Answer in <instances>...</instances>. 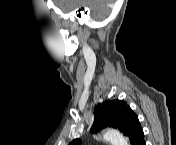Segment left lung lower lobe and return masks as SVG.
I'll return each instance as SVG.
<instances>
[{
  "label": "left lung lower lobe",
  "mask_w": 176,
  "mask_h": 145,
  "mask_svg": "<svg viewBox=\"0 0 176 145\" xmlns=\"http://www.w3.org/2000/svg\"><path fill=\"white\" fill-rule=\"evenodd\" d=\"M133 145H145L143 132L138 136Z\"/></svg>",
  "instance_id": "0a47b994"
}]
</instances>
